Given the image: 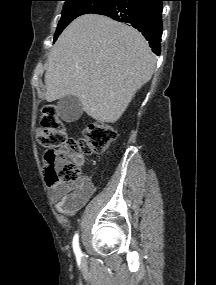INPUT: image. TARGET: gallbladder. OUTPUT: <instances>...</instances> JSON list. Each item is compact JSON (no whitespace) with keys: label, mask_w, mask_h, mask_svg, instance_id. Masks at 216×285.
<instances>
[{"label":"gallbladder","mask_w":216,"mask_h":285,"mask_svg":"<svg viewBox=\"0 0 216 285\" xmlns=\"http://www.w3.org/2000/svg\"><path fill=\"white\" fill-rule=\"evenodd\" d=\"M56 108L59 117L67 123L78 120L83 112L80 100L73 95L61 98Z\"/></svg>","instance_id":"bac80fb5"}]
</instances>
